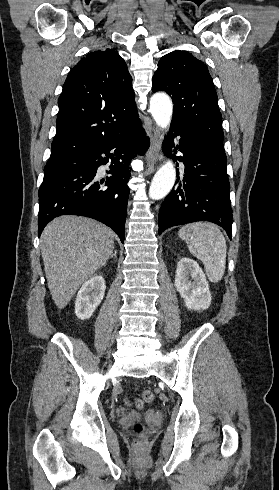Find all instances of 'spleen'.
Wrapping results in <instances>:
<instances>
[{"label": "spleen", "instance_id": "obj_1", "mask_svg": "<svg viewBox=\"0 0 279 490\" xmlns=\"http://www.w3.org/2000/svg\"><path fill=\"white\" fill-rule=\"evenodd\" d=\"M179 236L188 244L189 252L204 264L206 276L216 284L224 276L227 246L220 228L209 222L187 224Z\"/></svg>", "mask_w": 279, "mask_h": 490}]
</instances>
